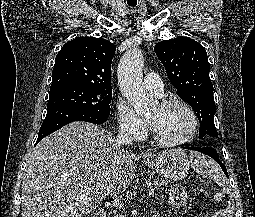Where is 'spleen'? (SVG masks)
Listing matches in <instances>:
<instances>
[{"label": "spleen", "mask_w": 255, "mask_h": 217, "mask_svg": "<svg viewBox=\"0 0 255 217\" xmlns=\"http://www.w3.org/2000/svg\"><path fill=\"white\" fill-rule=\"evenodd\" d=\"M192 167L196 172L203 176L210 177L215 181H221L223 174L219 166L211 159L201 154L191 155ZM210 168V170H208ZM229 191L228 188H223L222 193L219 194V198L224 197L223 194Z\"/></svg>", "instance_id": "1"}]
</instances>
